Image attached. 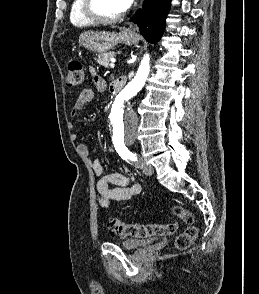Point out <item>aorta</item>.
<instances>
[{"mask_svg": "<svg viewBox=\"0 0 259 294\" xmlns=\"http://www.w3.org/2000/svg\"><path fill=\"white\" fill-rule=\"evenodd\" d=\"M150 58L146 54L136 76L117 95L108 117V130L113 141L133 142L137 136L138 119L129 108V100L144 86L150 71Z\"/></svg>", "mask_w": 259, "mask_h": 294, "instance_id": "aorta-1", "label": "aorta"}]
</instances>
